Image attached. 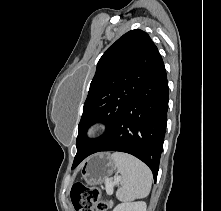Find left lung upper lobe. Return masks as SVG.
Here are the masks:
<instances>
[{
    "label": "left lung upper lobe",
    "mask_w": 221,
    "mask_h": 211,
    "mask_svg": "<svg viewBox=\"0 0 221 211\" xmlns=\"http://www.w3.org/2000/svg\"><path fill=\"white\" fill-rule=\"evenodd\" d=\"M159 55L149 35L139 29L124 34L102 55L78 125L77 154L72 168L87 157L119 120ZM96 122L106 124V133L89 139L87 129Z\"/></svg>",
    "instance_id": "left-lung-upper-lobe-1"
}]
</instances>
